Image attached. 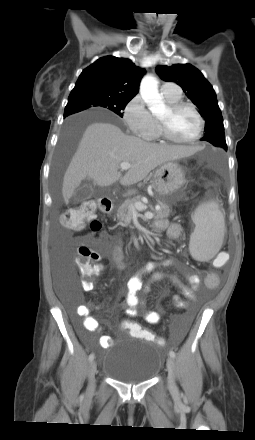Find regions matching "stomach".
<instances>
[{"instance_id": "0dacf381", "label": "stomach", "mask_w": 255, "mask_h": 440, "mask_svg": "<svg viewBox=\"0 0 255 440\" xmlns=\"http://www.w3.org/2000/svg\"><path fill=\"white\" fill-rule=\"evenodd\" d=\"M184 182L185 175L182 167L173 161L160 165L153 175V185L162 196L174 193Z\"/></svg>"}]
</instances>
